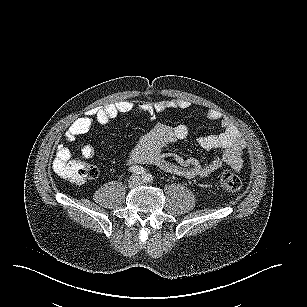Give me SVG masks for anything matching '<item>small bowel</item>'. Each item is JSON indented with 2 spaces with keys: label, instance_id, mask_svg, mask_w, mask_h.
I'll list each match as a JSON object with an SVG mask.
<instances>
[{
  "label": "small bowel",
  "instance_id": "c3829d8e",
  "mask_svg": "<svg viewBox=\"0 0 307 307\" xmlns=\"http://www.w3.org/2000/svg\"><path fill=\"white\" fill-rule=\"evenodd\" d=\"M189 106L190 103L183 99L143 101L137 105H134L131 101H120L87 111L69 126L64 139L68 143L73 142L78 136L87 133L95 122L106 124L118 115L129 113L134 109L154 116L170 109H185ZM206 118L210 121H219L221 132L216 135L199 137L198 144L206 151L221 149L222 155L220 157H215L211 161L203 163L197 159H183L176 155L164 153L163 149L167 145L185 139L188 130L185 125L171 127L158 124L138 141L127 158V163L155 165L166 172L186 178L207 177L220 168L222 164H226L236 171L241 170L246 143L239 129L228 117L223 116L217 110H207ZM95 152L96 150L92 145H85L82 148V154L87 159L93 158ZM70 158L71 151L69 148L65 144H60L56 150L55 163Z\"/></svg>",
  "mask_w": 307,
  "mask_h": 307
}]
</instances>
